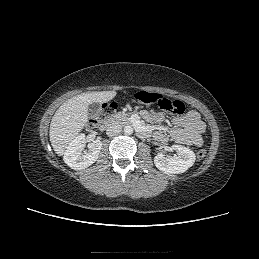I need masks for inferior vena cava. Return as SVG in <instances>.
<instances>
[{"label":"inferior vena cava","instance_id":"obj_1","mask_svg":"<svg viewBox=\"0 0 259 259\" xmlns=\"http://www.w3.org/2000/svg\"><path fill=\"white\" fill-rule=\"evenodd\" d=\"M121 131H122V126L118 123L113 122L108 125L106 134L108 136H115V135L119 134Z\"/></svg>","mask_w":259,"mask_h":259}]
</instances>
